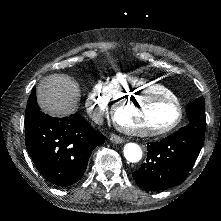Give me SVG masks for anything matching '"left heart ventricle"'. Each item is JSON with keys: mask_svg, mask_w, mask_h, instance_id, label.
<instances>
[{"mask_svg": "<svg viewBox=\"0 0 221 221\" xmlns=\"http://www.w3.org/2000/svg\"><path fill=\"white\" fill-rule=\"evenodd\" d=\"M114 119L131 128L161 127L176 120V107L171 102L125 106L115 110Z\"/></svg>", "mask_w": 221, "mask_h": 221, "instance_id": "left-heart-ventricle-1", "label": "left heart ventricle"}]
</instances>
